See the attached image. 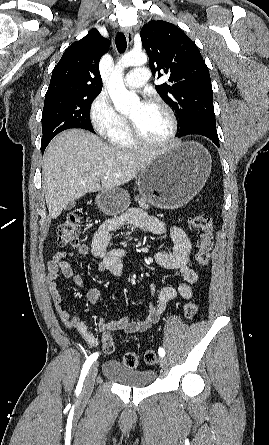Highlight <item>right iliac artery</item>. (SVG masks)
<instances>
[{
  "label": "right iliac artery",
  "mask_w": 269,
  "mask_h": 445,
  "mask_svg": "<svg viewBox=\"0 0 269 445\" xmlns=\"http://www.w3.org/2000/svg\"><path fill=\"white\" fill-rule=\"evenodd\" d=\"M98 355H99V353L95 352L92 355H90L87 358V360L85 361V363L83 365V368H82V371H81L79 382H78L77 387H76V391L78 393L81 392V389H82V386H83V381H84V379H85V377H86V375L88 373V370H89L90 366L92 365V363L94 361H96V359L98 358Z\"/></svg>",
  "instance_id": "obj_1"
}]
</instances>
